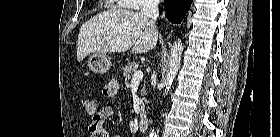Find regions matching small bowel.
Returning <instances> with one entry per match:
<instances>
[{
    "instance_id": "c3829d8e",
    "label": "small bowel",
    "mask_w": 280,
    "mask_h": 137,
    "mask_svg": "<svg viewBox=\"0 0 280 137\" xmlns=\"http://www.w3.org/2000/svg\"><path fill=\"white\" fill-rule=\"evenodd\" d=\"M118 89V82L116 80H111L105 85L103 92L106 96H114L118 92ZM112 114L113 108L110 105L102 107L97 115L92 117V121L88 127L89 133H96L98 135L97 137H109L105 128V122Z\"/></svg>"
}]
</instances>
